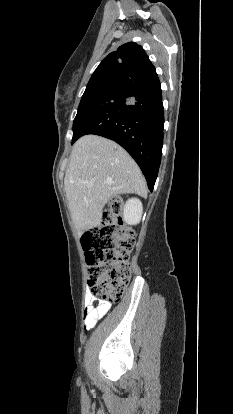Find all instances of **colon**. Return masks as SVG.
I'll use <instances>...</instances> for the list:
<instances>
[{"label":"colon","instance_id":"obj_1","mask_svg":"<svg viewBox=\"0 0 233 414\" xmlns=\"http://www.w3.org/2000/svg\"><path fill=\"white\" fill-rule=\"evenodd\" d=\"M122 213L121 200L113 199L103 213L101 226L82 238L91 294L112 302L121 299L132 273L129 259L135 236L124 226Z\"/></svg>","mask_w":233,"mask_h":414}]
</instances>
